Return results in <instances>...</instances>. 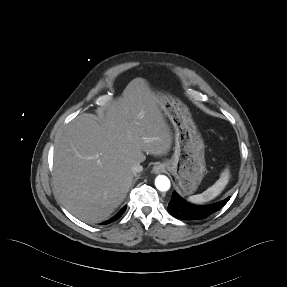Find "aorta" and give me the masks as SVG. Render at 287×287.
<instances>
[{"mask_svg": "<svg viewBox=\"0 0 287 287\" xmlns=\"http://www.w3.org/2000/svg\"><path fill=\"white\" fill-rule=\"evenodd\" d=\"M155 186L161 192H166L170 189L171 183L167 176L165 175H158L155 178Z\"/></svg>", "mask_w": 287, "mask_h": 287, "instance_id": "obj_1", "label": "aorta"}]
</instances>
